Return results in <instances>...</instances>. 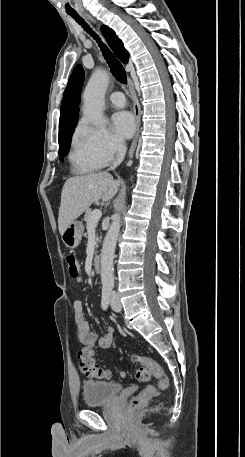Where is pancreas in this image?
I'll return each instance as SVG.
<instances>
[{
  "label": "pancreas",
  "mask_w": 245,
  "mask_h": 457,
  "mask_svg": "<svg viewBox=\"0 0 245 457\" xmlns=\"http://www.w3.org/2000/svg\"><path fill=\"white\" fill-rule=\"evenodd\" d=\"M92 212H93L92 208H87V210L84 214L83 220H86V222H90L89 218H90ZM96 241H99L98 237H97ZM96 247H98V245H96Z\"/></svg>",
  "instance_id": "pancreas-1"
}]
</instances>
